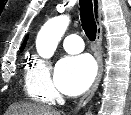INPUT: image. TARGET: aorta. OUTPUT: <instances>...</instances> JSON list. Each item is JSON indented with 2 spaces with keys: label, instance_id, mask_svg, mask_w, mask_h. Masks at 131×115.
<instances>
[{
  "label": "aorta",
  "instance_id": "762f6f07",
  "mask_svg": "<svg viewBox=\"0 0 131 115\" xmlns=\"http://www.w3.org/2000/svg\"><path fill=\"white\" fill-rule=\"evenodd\" d=\"M70 22L67 15L54 17L41 28L36 39V49L43 58H51Z\"/></svg>",
  "mask_w": 131,
  "mask_h": 115
}]
</instances>
